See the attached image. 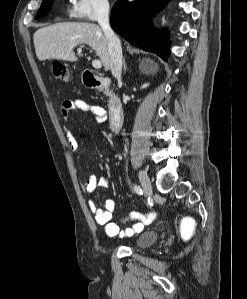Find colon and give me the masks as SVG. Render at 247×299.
<instances>
[{
	"mask_svg": "<svg viewBox=\"0 0 247 299\" xmlns=\"http://www.w3.org/2000/svg\"><path fill=\"white\" fill-rule=\"evenodd\" d=\"M52 72H53V75L57 79H59L63 82H67L69 80L68 70L66 69V67L63 64H61L59 62H56L53 64ZM182 226H183V231L185 234H188L193 228V225H192L191 221H189V220H184Z\"/></svg>",
	"mask_w": 247,
	"mask_h": 299,
	"instance_id": "5ec220e1",
	"label": "colon"
}]
</instances>
